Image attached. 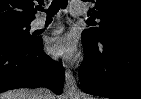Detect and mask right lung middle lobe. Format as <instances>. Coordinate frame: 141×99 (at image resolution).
<instances>
[{"mask_svg":"<svg viewBox=\"0 0 141 99\" xmlns=\"http://www.w3.org/2000/svg\"><path fill=\"white\" fill-rule=\"evenodd\" d=\"M31 21H2L0 22V40L30 42L37 37L29 33Z\"/></svg>","mask_w":141,"mask_h":99,"instance_id":"obj_1","label":"right lung middle lobe"}]
</instances>
